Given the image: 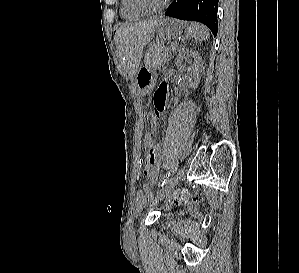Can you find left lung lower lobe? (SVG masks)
I'll return each instance as SVG.
<instances>
[{
    "label": "left lung lower lobe",
    "mask_w": 299,
    "mask_h": 273,
    "mask_svg": "<svg viewBox=\"0 0 299 273\" xmlns=\"http://www.w3.org/2000/svg\"><path fill=\"white\" fill-rule=\"evenodd\" d=\"M218 2L219 0H178L172 2L165 15L204 23L216 36Z\"/></svg>",
    "instance_id": "left-lung-lower-lobe-1"
}]
</instances>
